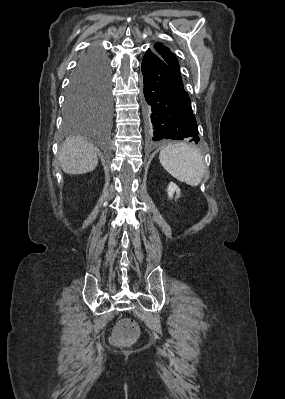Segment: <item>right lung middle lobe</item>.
<instances>
[{
  "mask_svg": "<svg viewBox=\"0 0 285 399\" xmlns=\"http://www.w3.org/2000/svg\"><path fill=\"white\" fill-rule=\"evenodd\" d=\"M98 49L75 69L66 93L65 125L71 128L90 112L108 118L111 112L110 68L105 52Z\"/></svg>",
  "mask_w": 285,
  "mask_h": 399,
  "instance_id": "1",
  "label": "right lung middle lobe"
}]
</instances>
